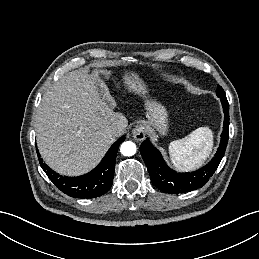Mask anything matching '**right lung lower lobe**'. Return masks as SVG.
Wrapping results in <instances>:
<instances>
[{"instance_id": "obj_1", "label": "right lung lower lobe", "mask_w": 259, "mask_h": 259, "mask_svg": "<svg viewBox=\"0 0 259 259\" xmlns=\"http://www.w3.org/2000/svg\"><path fill=\"white\" fill-rule=\"evenodd\" d=\"M124 140V136L117 140L108 150L100 164L91 172L80 177L59 175L43 163L38 154L39 162L49 179L63 193L75 198L99 197L106 193L112 186L117 151L119 144Z\"/></svg>"}]
</instances>
